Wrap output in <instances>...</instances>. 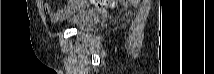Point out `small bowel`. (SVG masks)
Masks as SVG:
<instances>
[{
  "mask_svg": "<svg viewBox=\"0 0 214 74\" xmlns=\"http://www.w3.org/2000/svg\"><path fill=\"white\" fill-rule=\"evenodd\" d=\"M45 3V11L50 15L52 18H62L67 15L68 10L67 8H54L50 6L48 3Z\"/></svg>",
  "mask_w": 214,
  "mask_h": 74,
  "instance_id": "small-bowel-1",
  "label": "small bowel"
}]
</instances>
